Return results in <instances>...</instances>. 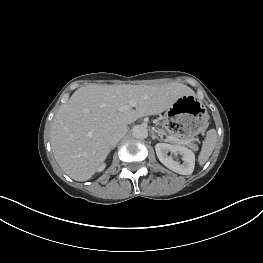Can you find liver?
I'll list each match as a JSON object with an SVG mask.
<instances>
[{
	"mask_svg": "<svg viewBox=\"0 0 263 263\" xmlns=\"http://www.w3.org/2000/svg\"><path fill=\"white\" fill-rule=\"evenodd\" d=\"M191 88L163 85H98L77 89L57 111L50 133L51 147L61 169L76 181L90 179L103 164L111 146L110 133L148 115L167 110ZM136 102L135 109L120 108Z\"/></svg>",
	"mask_w": 263,
	"mask_h": 263,
	"instance_id": "6515ba94",
	"label": "liver"
}]
</instances>
